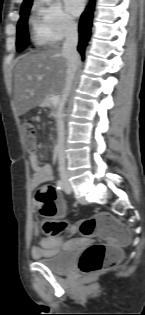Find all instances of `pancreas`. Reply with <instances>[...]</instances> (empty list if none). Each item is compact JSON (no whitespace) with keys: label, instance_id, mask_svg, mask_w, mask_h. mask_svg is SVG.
<instances>
[{"label":"pancreas","instance_id":"cf45deb5","mask_svg":"<svg viewBox=\"0 0 145 315\" xmlns=\"http://www.w3.org/2000/svg\"><path fill=\"white\" fill-rule=\"evenodd\" d=\"M45 104L47 105H51V103L49 101H45Z\"/></svg>","mask_w":145,"mask_h":315}]
</instances>
